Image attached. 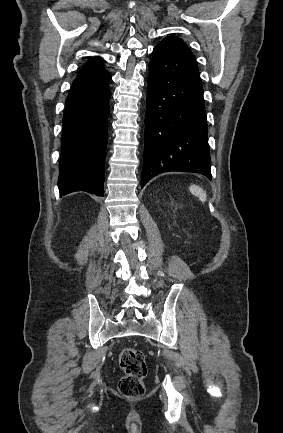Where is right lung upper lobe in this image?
Wrapping results in <instances>:
<instances>
[{"mask_svg":"<svg viewBox=\"0 0 283 433\" xmlns=\"http://www.w3.org/2000/svg\"><path fill=\"white\" fill-rule=\"evenodd\" d=\"M103 59L94 57L82 69L80 75L74 80V83L85 82L100 78L109 74L103 67Z\"/></svg>","mask_w":283,"mask_h":433,"instance_id":"right-lung-upper-lobe-1","label":"right lung upper lobe"}]
</instances>
